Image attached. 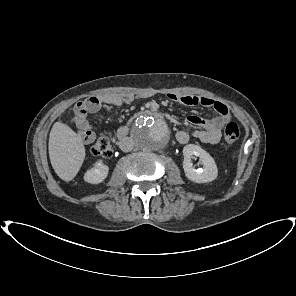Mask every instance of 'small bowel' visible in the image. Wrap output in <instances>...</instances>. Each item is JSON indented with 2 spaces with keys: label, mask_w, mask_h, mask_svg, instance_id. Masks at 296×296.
<instances>
[{
  "label": "small bowel",
  "mask_w": 296,
  "mask_h": 296,
  "mask_svg": "<svg viewBox=\"0 0 296 296\" xmlns=\"http://www.w3.org/2000/svg\"><path fill=\"white\" fill-rule=\"evenodd\" d=\"M171 101L178 102L188 106H203L212 108L217 113V116L211 120L192 115L187 118L188 124L195 127L190 133L186 130H180L176 134V139L180 144H187L191 137L196 138L203 144H215L221 138L222 128L231 119V112L227 105L208 97H202L190 94H168ZM132 101V96L107 93L87 98L79 102L75 107V124L77 134L80 140L85 144H90L95 140V132L91 124L87 120V115L97 113L106 109L109 106H121ZM85 109L79 113L78 108Z\"/></svg>",
  "instance_id": "1"
}]
</instances>
